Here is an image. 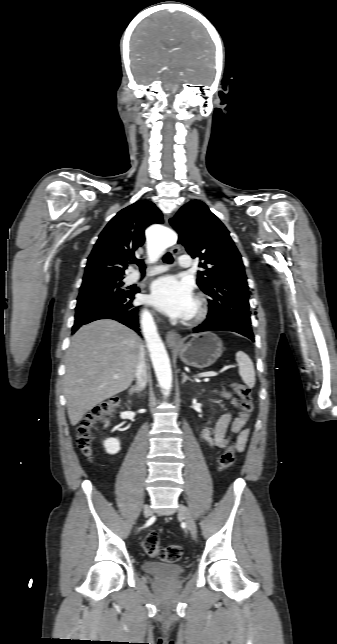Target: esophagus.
<instances>
[{"label":"esophagus","mask_w":337,"mask_h":644,"mask_svg":"<svg viewBox=\"0 0 337 644\" xmlns=\"http://www.w3.org/2000/svg\"><path fill=\"white\" fill-rule=\"evenodd\" d=\"M170 252L173 255H177L179 253V248L177 246H174V247H172L170 249ZM166 341H167L168 345H170V346H177V345H179L181 343V337H180V335H179V333L177 331L170 330L167 333Z\"/></svg>","instance_id":"obj_1"}]
</instances>
